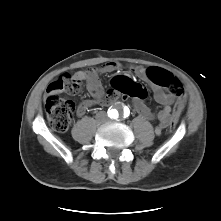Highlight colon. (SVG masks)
I'll use <instances>...</instances> for the list:
<instances>
[{
	"instance_id": "1",
	"label": "colon",
	"mask_w": 221,
	"mask_h": 221,
	"mask_svg": "<svg viewBox=\"0 0 221 221\" xmlns=\"http://www.w3.org/2000/svg\"><path fill=\"white\" fill-rule=\"evenodd\" d=\"M149 75L154 83L167 88L173 95L181 96L183 94V87L180 80L171 73L161 69L151 68ZM79 89V84L71 82L66 75L58 77L49 86L45 100V109L48 121L55 131H66L74 116V103L71 100L60 98L58 96L59 93L66 91L75 94ZM124 92L129 97L145 99L148 96V90L135 82L128 84L124 88ZM177 112L178 110L175 108L173 111L174 115H176Z\"/></svg>"
}]
</instances>
